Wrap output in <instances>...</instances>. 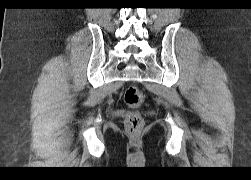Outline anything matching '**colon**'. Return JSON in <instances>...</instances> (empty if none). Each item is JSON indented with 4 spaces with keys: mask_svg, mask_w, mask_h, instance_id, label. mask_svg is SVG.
<instances>
[{
    "mask_svg": "<svg viewBox=\"0 0 251 180\" xmlns=\"http://www.w3.org/2000/svg\"><path fill=\"white\" fill-rule=\"evenodd\" d=\"M124 102L129 107L125 116V128L130 134H138L144 125L139 108L143 104V92L136 86H129L124 92Z\"/></svg>",
    "mask_w": 251,
    "mask_h": 180,
    "instance_id": "1",
    "label": "colon"
}]
</instances>
